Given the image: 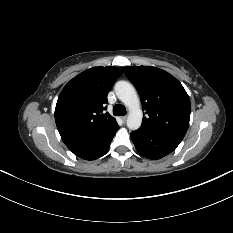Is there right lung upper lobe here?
<instances>
[{"label": "right lung upper lobe", "mask_w": 233, "mask_h": 233, "mask_svg": "<svg viewBox=\"0 0 233 233\" xmlns=\"http://www.w3.org/2000/svg\"><path fill=\"white\" fill-rule=\"evenodd\" d=\"M121 73L115 66L93 67L63 88L55 108V121L67 146L91 139L117 125L115 118L104 110L107 94Z\"/></svg>", "instance_id": "cb5924a9"}]
</instances>
